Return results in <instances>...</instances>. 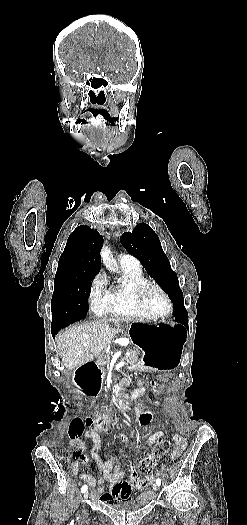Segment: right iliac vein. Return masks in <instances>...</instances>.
I'll list each match as a JSON object with an SVG mask.
<instances>
[{"mask_svg": "<svg viewBox=\"0 0 247 525\" xmlns=\"http://www.w3.org/2000/svg\"><path fill=\"white\" fill-rule=\"evenodd\" d=\"M83 497H84V498H88V497H89V492H88V491L85 492Z\"/></svg>", "mask_w": 247, "mask_h": 525, "instance_id": "1", "label": "right iliac vein"}]
</instances>
